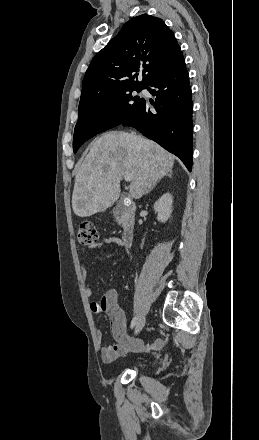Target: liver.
<instances>
[{
  "mask_svg": "<svg viewBox=\"0 0 259 440\" xmlns=\"http://www.w3.org/2000/svg\"><path fill=\"white\" fill-rule=\"evenodd\" d=\"M174 156L160 145L122 131H111L93 140L80 165L72 194V208L89 217L112 206L120 196V181L132 175L129 196L139 199L172 171Z\"/></svg>",
  "mask_w": 259,
  "mask_h": 440,
  "instance_id": "1",
  "label": "liver"
}]
</instances>
